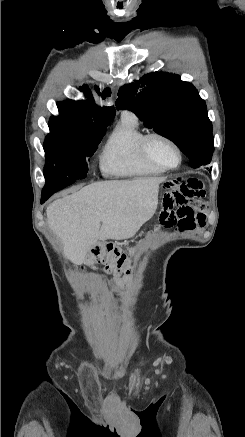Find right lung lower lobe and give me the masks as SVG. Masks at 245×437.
<instances>
[{"label":"right lung lower lobe","instance_id":"obj_1","mask_svg":"<svg viewBox=\"0 0 245 437\" xmlns=\"http://www.w3.org/2000/svg\"><path fill=\"white\" fill-rule=\"evenodd\" d=\"M73 182L68 179H57L47 181L41 196V203H44L50 196H52L57 191L65 188L68 185H71Z\"/></svg>","mask_w":245,"mask_h":437}]
</instances>
